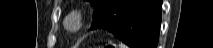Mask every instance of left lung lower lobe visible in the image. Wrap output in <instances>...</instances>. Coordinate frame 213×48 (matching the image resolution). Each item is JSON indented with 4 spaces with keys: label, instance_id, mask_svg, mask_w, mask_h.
<instances>
[{
    "label": "left lung lower lobe",
    "instance_id": "1",
    "mask_svg": "<svg viewBox=\"0 0 213 48\" xmlns=\"http://www.w3.org/2000/svg\"><path fill=\"white\" fill-rule=\"evenodd\" d=\"M162 0H110L90 30L106 29L131 48H156Z\"/></svg>",
    "mask_w": 213,
    "mask_h": 48
}]
</instances>
